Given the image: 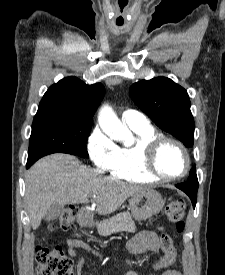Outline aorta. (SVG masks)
Masks as SVG:
<instances>
[{
	"mask_svg": "<svg viewBox=\"0 0 225 275\" xmlns=\"http://www.w3.org/2000/svg\"><path fill=\"white\" fill-rule=\"evenodd\" d=\"M98 122L102 131L111 139L123 142L125 146H130L133 143V136L128 127L123 124L113 109L104 105L98 116Z\"/></svg>",
	"mask_w": 225,
	"mask_h": 275,
	"instance_id": "aorta-1",
	"label": "aorta"
}]
</instances>
